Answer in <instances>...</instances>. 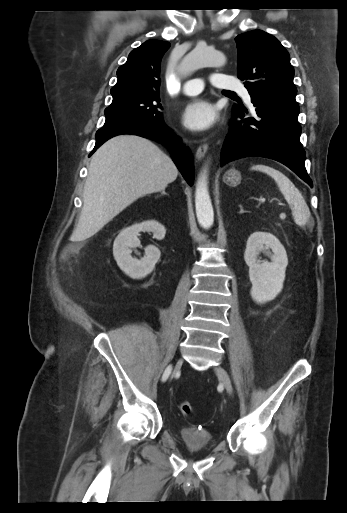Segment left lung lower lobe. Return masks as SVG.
Here are the masks:
<instances>
[{"instance_id":"left-lung-lower-lobe-1","label":"left lung lower lobe","mask_w":347,"mask_h":513,"mask_svg":"<svg viewBox=\"0 0 347 513\" xmlns=\"http://www.w3.org/2000/svg\"><path fill=\"white\" fill-rule=\"evenodd\" d=\"M252 112L235 105L233 119L221 151L220 164L260 156L289 167L313 187L305 168V151L300 143L299 106L295 97L251 96ZM241 118V121H236Z\"/></svg>"}]
</instances>
